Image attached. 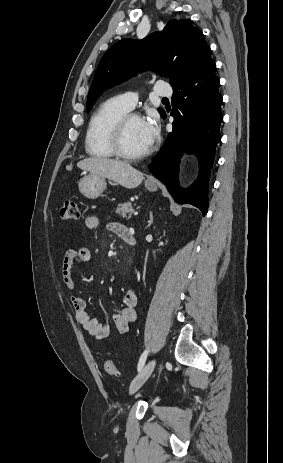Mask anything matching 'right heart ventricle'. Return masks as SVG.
I'll return each mask as SVG.
<instances>
[{"mask_svg": "<svg viewBox=\"0 0 283 463\" xmlns=\"http://www.w3.org/2000/svg\"><path fill=\"white\" fill-rule=\"evenodd\" d=\"M129 111L119 96L111 97L99 105L89 120L85 135V150L89 156L102 159L114 156L109 144L111 129Z\"/></svg>", "mask_w": 283, "mask_h": 463, "instance_id": "1", "label": "right heart ventricle"}]
</instances>
